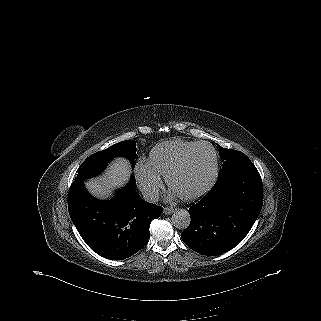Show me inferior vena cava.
<instances>
[{"mask_svg":"<svg viewBox=\"0 0 321 321\" xmlns=\"http://www.w3.org/2000/svg\"><path fill=\"white\" fill-rule=\"evenodd\" d=\"M143 199L149 203H156L159 200V192L155 188H146L142 191Z\"/></svg>","mask_w":321,"mask_h":321,"instance_id":"602c4592","label":"inferior vena cava"}]
</instances>
